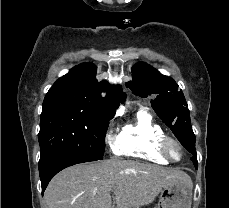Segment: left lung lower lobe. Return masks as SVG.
I'll use <instances>...</instances> for the list:
<instances>
[{
  "instance_id": "1",
  "label": "left lung lower lobe",
  "mask_w": 229,
  "mask_h": 208,
  "mask_svg": "<svg viewBox=\"0 0 229 208\" xmlns=\"http://www.w3.org/2000/svg\"><path fill=\"white\" fill-rule=\"evenodd\" d=\"M191 154H193V157L191 158L194 166L196 169H198V163H197V159H196V150H195V142L189 144V145H183Z\"/></svg>"
}]
</instances>
